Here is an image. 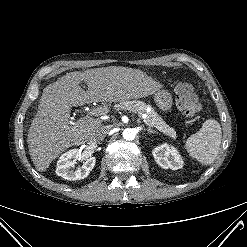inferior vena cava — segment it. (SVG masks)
<instances>
[{
	"mask_svg": "<svg viewBox=\"0 0 247 247\" xmlns=\"http://www.w3.org/2000/svg\"><path fill=\"white\" fill-rule=\"evenodd\" d=\"M108 132V129L105 126L99 127L96 130H93L90 134V139L95 142L103 141L106 134Z\"/></svg>",
	"mask_w": 247,
	"mask_h": 247,
	"instance_id": "602c4592",
	"label": "inferior vena cava"
}]
</instances>
